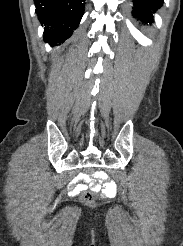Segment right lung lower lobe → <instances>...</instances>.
<instances>
[{
    "mask_svg": "<svg viewBox=\"0 0 183 246\" xmlns=\"http://www.w3.org/2000/svg\"><path fill=\"white\" fill-rule=\"evenodd\" d=\"M36 14L44 26V41L63 43L77 28L85 0H34Z\"/></svg>",
    "mask_w": 183,
    "mask_h": 246,
    "instance_id": "right-lung-lower-lobe-1",
    "label": "right lung lower lobe"
}]
</instances>
